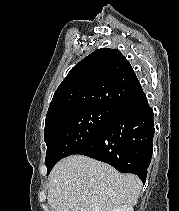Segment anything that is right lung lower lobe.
<instances>
[{
  "instance_id": "right-lung-lower-lobe-1",
  "label": "right lung lower lobe",
  "mask_w": 179,
  "mask_h": 211,
  "mask_svg": "<svg viewBox=\"0 0 179 211\" xmlns=\"http://www.w3.org/2000/svg\"><path fill=\"white\" fill-rule=\"evenodd\" d=\"M153 136V110L140 88L114 110L98 136L74 154L108 163L120 172L133 173L145 183Z\"/></svg>"
}]
</instances>
